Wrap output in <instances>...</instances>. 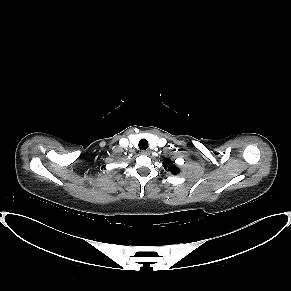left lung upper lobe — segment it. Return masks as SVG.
I'll return each instance as SVG.
<instances>
[{"label": "left lung upper lobe", "mask_w": 291, "mask_h": 291, "mask_svg": "<svg viewBox=\"0 0 291 291\" xmlns=\"http://www.w3.org/2000/svg\"><path fill=\"white\" fill-rule=\"evenodd\" d=\"M163 167L165 169L171 170L173 174L179 173V169L175 167L174 162L171 161L169 158L164 159Z\"/></svg>", "instance_id": "left-lung-upper-lobe-1"}]
</instances>
